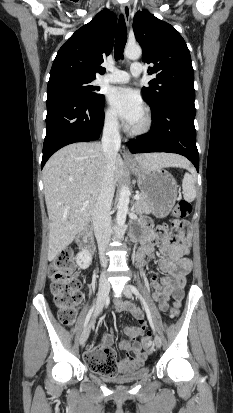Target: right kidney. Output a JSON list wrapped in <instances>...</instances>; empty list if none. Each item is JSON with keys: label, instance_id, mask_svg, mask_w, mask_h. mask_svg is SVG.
Wrapping results in <instances>:
<instances>
[{"label": "right kidney", "instance_id": "1", "mask_svg": "<svg viewBox=\"0 0 233 413\" xmlns=\"http://www.w3.org/2000/svg\"><path fill=\"white\" fill-rule=\"evenodd\" d=\"M91 262H92V255L88 250L83 249L76 256V263L82 269L88 268Z\"/></svg>", "mask_w": 233, "mask_h": 413}]
</instances>
